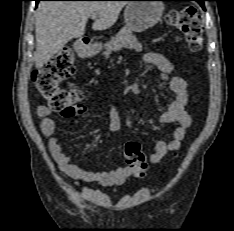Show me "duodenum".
Masks as SVG:
<instances>
[{
	"label": "duodenum",
	"instance_id": "obj_1",
	"mask_svg": "<svg viewBox=\"0 0 234 231\" xmlns=\"http://www.w3.org/2000/svg\"><path fill=\"white\" fill-rule=\"evenodd\" d=\"M77 50L84 54L87 55L90 52V48H91V41L89 38H83L81 40L78 41L77 43Z\"/></svg>",
	"mask_w": 234,
	"mask_h": 231
}]
</instances>
